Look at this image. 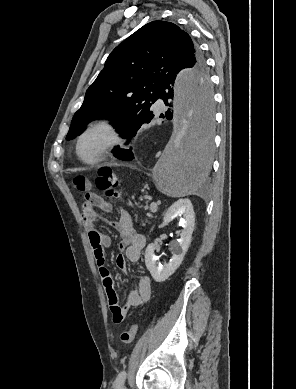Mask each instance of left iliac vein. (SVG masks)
I'll return each mask as SVG.
<instances>
[{
  "label": "left iliac vein",
  "instance_id": "obj_1",
  "mask_svg": "<svg viewBox=\"0 0 296 389\" xmlns=\"http://www.w3.org/2000/svg\"><path fill=\"white\" fill-rule=\"evenodd\" d=\"M121 389H127L125 386H122Z\"/></svg>",
  "mask_w": 296,
  "mask_h": 389
}]
</instances>
